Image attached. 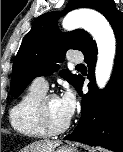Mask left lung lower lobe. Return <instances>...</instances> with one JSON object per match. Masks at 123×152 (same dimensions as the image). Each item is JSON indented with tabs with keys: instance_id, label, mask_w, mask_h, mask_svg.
<instances>
[{
	"instance_id": "obj_1",
	"label": "left lung lower lobe",
	"mask_w": 123,
	"mask_h": 152,
	"mask_svg": "<svg viewBox=\"0 0 123 152\" xmlns=\"http://www.w3.org/2000/svg\"><path fill=\"white\" fill-rule=\"evenodd\" d=\"M106 18L117 40L113 74L106 88L98 90L94 76L97 47L92 42L83 52L89 69V92L82 96L84 78L81 77L76 90L82 96V115L74 131L64 139L123 152V13L115 10Z\"/></svg>"
}]
</instances>
